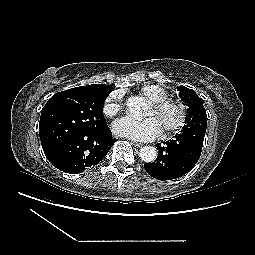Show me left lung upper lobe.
Wrapping results in <instances>:
<instances>
[{
	"label": "left lung upper lobe",
	"instance_id": "obj_1",
	"mask_svg": "<svg viewBox=\"0 0 255 255\" xmlns=\"http://www.w3.org/2000/svg\"><path fill=\"white\" fill-rule=\"evenodd\" d=\"M179 95L185 105L189 107L186 125L182 129L181 134L185 135L190 131L191 128H196L201 126H207V115L203 106V99L199 98L197 94L185 86L178 87Z\"/></svg>",
	"mask_w": 255,
	"mask_h": 255
}]
</instances>
